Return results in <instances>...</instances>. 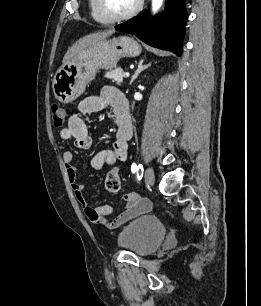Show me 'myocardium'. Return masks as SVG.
<instances>
[{"label":"myocardium","mask_w":261,"mask_h":306,"mask_svg":"<svg viewBox=\"0 0 261 306\" xmlns=\"http://www.w3.org/2000/svg\"><path fill=\"white\" fill-rule=\"evenodd\" d=\"M144 4V0H138L136 5L125 14H115L109 7L107 0H98V6L101 13L111 22L128 20L140 12Z\"/></svg>","instance_id":"myocardium-1"}]
</instances>
